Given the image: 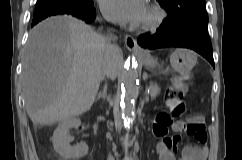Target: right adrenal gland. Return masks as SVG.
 I'll list each match as a JSON object with an SVG mask.
<instances>
[{
    "label": "right adrenal gland",
    "mask_w": 242,
    "mask_h": 160,
    "mask_svg": "<svg viewBox=\"0 0 242 160\" xmlns=\"http://www.w3.org/2000/svg\"><path fill=\"white\" fill-rule=\"evenodd\" d=\"M106 96H107V85L105 84L104 85V88H103V91H100L98 93V96L96 98V101L99 100V99H101V98L106 99Z\"/></svg>",
    "instance_id": "2a0ac1e0"
}]
</instances>
